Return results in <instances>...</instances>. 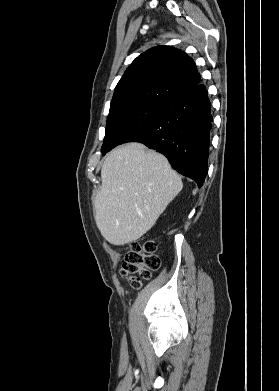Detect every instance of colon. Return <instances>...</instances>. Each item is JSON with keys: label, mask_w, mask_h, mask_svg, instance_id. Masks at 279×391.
<instances>
[{"label": "colon", "mask_w": 279, "mask_h": 391, "mask_svg": "<svg viewBox=\"0 0 279 391\" xmlns=\"http://www.w3.org/2000/svg\"><path fill=\"white\" fill-rule=\"evenodd\" d=\"M156 244L151 240L143 243L132 242L125 253L121 274L123 276L138 275L130 279L134 288L140 287V278L148 279L153 271L161 266L160 258L155 254Z\"/></svg>", "instance_id": "5ec220e1"}]
</instances>
